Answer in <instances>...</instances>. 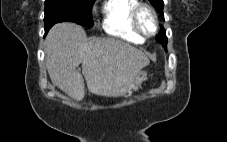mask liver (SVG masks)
Here are the masks:
<instances>
[{
	"label": "liver",
	"instance_id": "obj_1",
	"mask_svg": "<svg viewBox=\"0 0 227 142\" xmlns=\"http://www.w3.org/2000/svg\"><path fill=\"white\" fill-rule=\"evenodd\" d=\"M85 31L77 24L54 25L45 40L48 74L54 86L81 101L85 78L89 91L106 97H120L128 91L136 75L149 65L141 50L115 38L85 41ZM82 64V74L77 70Z\"/></svg>",
	"mask_w": 227,
	"mask_h": 142
}]
</instances>
